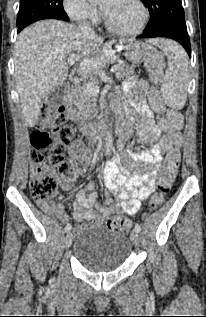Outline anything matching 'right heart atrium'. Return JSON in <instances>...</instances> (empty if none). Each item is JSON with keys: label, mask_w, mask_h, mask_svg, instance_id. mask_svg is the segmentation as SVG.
I'll list each match as a JSON object with an SVG mask.
<instances>
[{"label": "right heart atrium", "mask_w": 206, "mask_h": 317, "mask_svg": "<svg viewBox=\"0 0 206 317\" xmlns=\"http://www.w3.org/2000/svg\"><path fill=\"white\" fill-rule=\"evenodd\" d=\"M63 7L77 22H95L99 16L97 8L88 0H63Z\"/></svg>", "instance_id": "obj_1"}]
</instances>
